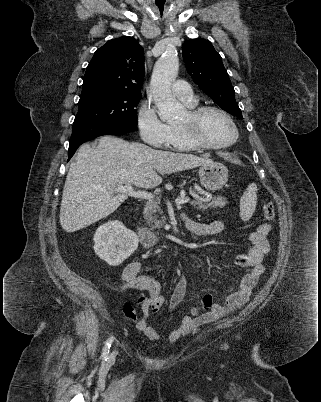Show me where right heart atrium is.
I'll return each instance as SVG.
<instances>
[{
    "label": "right heart atrium",
    "instance_id": "d8ad5b80",
    "mask_svg": "<svg viewBox=\"0 0 321 402\" xmlns=\"http://www.w3.org/2000/svg\"><path fill=\"white\" fill-rule=\"evenodd\" d=\"M137 126L141 139L154 147L168 145L169 125L163 122L156 109L149 103H143L137 114Z\"/></svg>",
    "mask_w": 321,
    "mask_h": 402
}]
</instances>
